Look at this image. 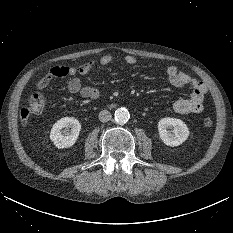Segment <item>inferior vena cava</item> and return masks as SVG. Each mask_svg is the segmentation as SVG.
Wrapping results in <instances>:
<instances>
[{
  "label": "inferior vena cava",
  "instance_id": "602c4592",
  "mask_svg": "<svg viewBox=\"0 0 233 233\" xmlns=\"http://www.w3.org/2000/svg\"><path fill=\"white\" fill-rule=\"evenodd\" d=\"M111 113L107 110H102L100 113H99V120L101 122H108L109 120H111Z\"/></svg>",
  "mask_w": 233,
  "mask_h": 233
}]
</instances>
